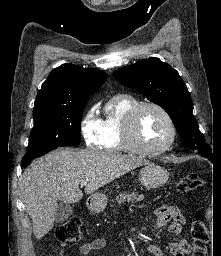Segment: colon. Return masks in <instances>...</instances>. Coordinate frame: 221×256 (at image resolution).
<instances>
[{
  "label": "colon",
  "instance_id": "colon-1",
  "mask_svg": "<svg viewBox=\"0 0 221 256\" xmlns=\"http://www.w3.org/2000/svg\"><path fill=\"white\" fill-rule=\"evenodd\" d=\"M202 185L203 181L199 177L190 175L180 180L178 190L183 194H187L201 188ZM81 227V220L77 217H71L56 227V239L65 244H75L81 239ZM191 236L193 240L192 256H208L209 238L199 213H197L196 220L191 226Z\"/></svg>",
  "mask_w": 221,
  "mask_h": 256
}]
</instances>
